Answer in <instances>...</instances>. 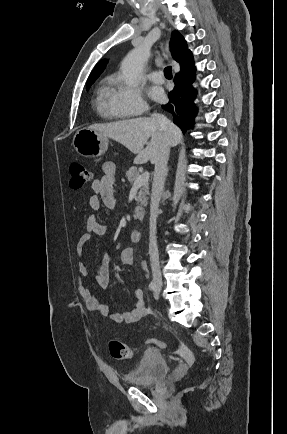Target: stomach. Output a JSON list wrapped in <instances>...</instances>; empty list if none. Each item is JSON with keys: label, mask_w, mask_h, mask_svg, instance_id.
<instances>
[{"label": "stomach", "mask_w": 287, "mask_h": 434, "mask_svg": "<svg viewBox=\"0 0 287 434\" xmlns=\"http://www.w3.org/2000/svg\"><path fill=\"white\" fill-rule=\"evenodd\" d=\"M73 146L82 156L99 157L108 149V138L90 128H83L74 135Z\"/></svg>", "instance_id": "stomach-1"}]
</instances>
